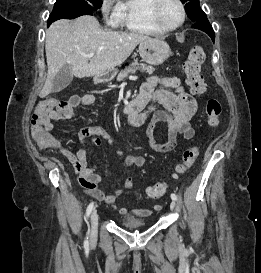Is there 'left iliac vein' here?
<instances>
[{
	"mask_svg": "<svg viewBox=\"0 0 261 273\" xmlns=\"http://www.w3.org/2000/svg\"><path fill=\"white\" fill-rule=\"evenodd\" d=\"M175 207H176V203H175L174 200H172L171 203H170V208H171V210H174Z\"/></svg>",
	"mask_w": 261,
	"mask_h": 273,
	"instance_id": "4c4485c4",
	"label": "left iliac vein"
}]
</instances>
